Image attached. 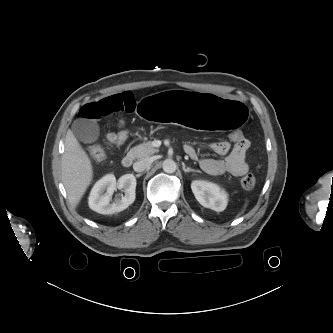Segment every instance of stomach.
<instances>
[{"label":"stomach","instance_id":"stomach-1","mask_svg":"<svg viewBox=\"0 0 333 333\" xmlns=\"http://www.w3.org/2000/svg\"><path fill=\"white\" fill-rule=\"evenodd\" d=\"M138 113L155 123H170L211 133L242 127L246 107L223 96L202 91L155 92L139 103Z\"/></svg>","mask_w":333,"mask_h":333}]
</instances>
